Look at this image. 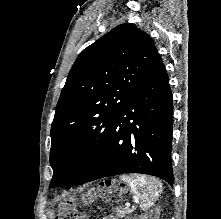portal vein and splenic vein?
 <instances>
[{
  "instance_id": "1",
  "label": "portal vein and splenic vein",
  "mask_w": 221,
  "mask_h": 219,
  "mask_svg": "<svg viewBox=\"0 0 221 219\" xmlns=\"http://www.w3.org/2000/svg\"><path fill=\"white\" fill-rule=\"evenodd\" d=\"M125 206H126V208H128L131 206V203H129V202L125 203Z\"/></svg>"
}]
</instances>
